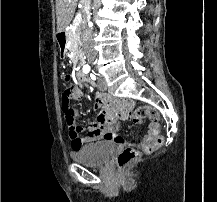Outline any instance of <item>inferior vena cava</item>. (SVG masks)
<instances>
[{"label":"inferior vena cava","instance_id":"obj_1","mask_svg":"<svg viewBox=\"0 0 217 202\" xmlns=\"http://www.w3.org/2000/svg\"><path fill=\"white\" fill-rule=\"evenodd\" d=\"M90 2L91 0H81V4L83 8H86L87 20H90ZM80 36H81L83 50L87 58H95L92 28H86V30H81Z\"/></svg>","mask_w":217,"mask_h":202}]
</instances>
